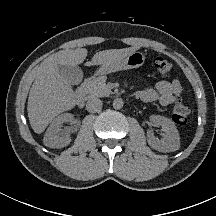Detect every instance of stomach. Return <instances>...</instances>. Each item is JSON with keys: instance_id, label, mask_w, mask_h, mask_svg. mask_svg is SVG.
Returning <instances> with one entry per match:
<instances>
[{"instance_id": "obj_1", "label": "stomach", "mask_w": 216, "mask_h": 216, "mask_svg": "<svg viewBox=\"0 0 216 216\" xmlns=\"http://www.w3.org/2000/svg\"><path fill=\"white\" fill-rule=\"evenodd\" d=\"M145 62V56L141 52H133L127 57L110 65H103L96 74H109L116 71L139 68Z\"/></svg>"}]
</instances>
